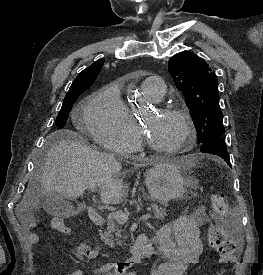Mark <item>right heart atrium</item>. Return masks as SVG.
<instances>
[{
	"mask_svg": "<svg viewBox=\"0 0 263 275\" xmlns=\"http://www.w3.org/2000/svg\"><path fill=\"white\" fill-rule=\"evenodd\" d=\"M84 122L94 141L115 153H127L139 144V127L115 87H105L92 96Z\"/></svg>",
	"mask_w": 263,
	"mask_h": 275,
	"instance_id": "right-heart-atrium-1",
	"label": "right heart atrium"
}]
</instances>
